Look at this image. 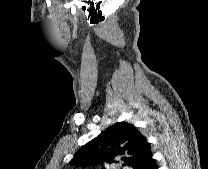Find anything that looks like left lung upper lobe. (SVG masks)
Wrapping results in <instances>:
<instances>
[{
    "instance_id": "obj_1",
    "label": "left lung upper lobe",
    "mask_w": 208,
    "mask_h": 169,
    "mask_svg": "<svg viewBox=\"0 0 208 169\" xmlns=\"http://www.w3.org/2000/svg\"><path fill=\"white\" fill-rule=\"evenodd\" d=\"M149 150V143L134 125L118 122L82 146L70 164L86 167L120 159L124 165L138 169Z\"/></svg>"
}]
</instances>
